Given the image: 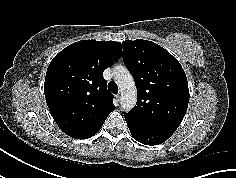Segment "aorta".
Wrapping results in <instances>:
<instances>
[{
	"instance_id": "762f6f07",
	"label": "aorta",
	"mask_w": 236,
	"mask_h": 178,
	"mask_svg": "<svg viewBox=\"0 0 236 178\" xmlns=\"http://www.w3.org/2000/svg\"><path fill=\"white\" fill-rule=\"evenodd\" d=\"M114 73L116 84L121 92V107L129 111L135 106L137 97L134 78L123 66L116 67Z\"/></svg>"
}]
</instances>
